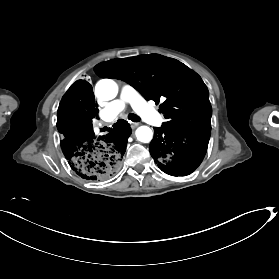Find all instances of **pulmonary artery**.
Instances as JSON below:
<instances>
[{"label": "pulmonary artery", "mask_w": 279, "mask_h": 279, "mask_svg": "<svg viewBox=\"0 0 279 279\" xmlns=\"http://www.w3.org/2000/svg\"><path fill=\"white\" fill-rule=\"evenodd\" d=\"M130 94L131 87L128 85L122 86L120 96L108 104L110 118L119 117L128 109Z\"/></svg>", "instance_id": "pulmonary-artery-1"}]
</instances>
